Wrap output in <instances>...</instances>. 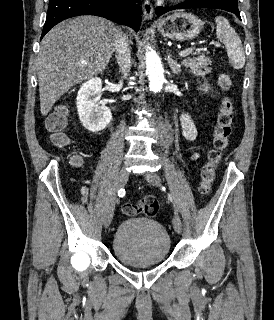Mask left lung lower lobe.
I'll return each mask as SVG.
<instances>
[{"instance_id":"obj_1","label":"left lung lower lobe","mask_w":274,"mask_h":320,"mask_svg":"<svg viewBox=\"0 0 274 320\" xmlns=\"http://www.w3.org/2000/svg\"><path fill=\"white\" fill-rule=\"evenodd\" d=\"M190 8L222 9V10H226V11L234 13L239 19H241L238 5L229 4L223 0H187L185 3H182V4L174 6V7L158 6L156 8L155 12L158 16H161L171 10L190 9Z\"/></svg>"}]
</instances>
